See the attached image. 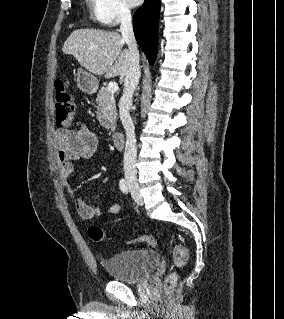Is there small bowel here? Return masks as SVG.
I'll return each instance as SVG.
<instances>
[{
    "label": "small bowel",
    "instance_id": "obj_1",
    "mask_svg": "<svg viewBox=\"0 0 284 319\" xmlns=\"http://www.w3.org/2000/svg\"><path fill=\"white\" fill-rule=\"evenodd\" d=\"M56 144L62 178L69 183L73 174V161L93 158L98 150L99 143L96 134L84 123L77 122L76 129L62 127L56 131ZM75 208L80 218L91 220L98 216L102 209L88 204L83 198L75 200ZM121 206L117 202L109 203L105 211L108 215H116Z\"/></svg>",
    "mask_w": 284,
    "mask_h": 319
}]
</instances>
